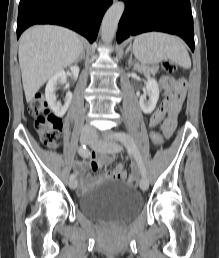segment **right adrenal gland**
I'll use <instances>...</instances> for the list:
<instances>
[{
  "label": "right adrenal gland",
  "instance_id": "obj_1",
  "mask_svg": "<svg viewBox=\"0 0 219 258\" xmlns=\"http://www.w3.org/2000/svg\"><path fill=\"white\" fill-rule=\"evenodd\" d=\"M84 59H85V48H83L81 55L76 60V63H78L80 60H84Z\"/></svg>",
  "mask_w": 219,
  "mask_h": 258
}]
</instances>
